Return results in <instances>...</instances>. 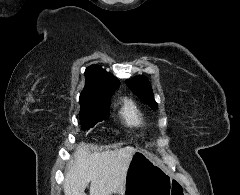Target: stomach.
I'll return each instance as SVG.
<instances>
[{
    "instance_id": "1",
    "label": "stomach",
    "mask_w": 240,
    "mask_h": 195,
    "mask_svg": "<svg viewBox=\"0 0 240 195\" xmlns=\"http://www.w3.org/2000/svg\"><path fill=\"white\" fill-rule=\"evenodd\" d=\"M171 177L160 161L143 149H134L123 195H170Z\"/></svg>"
}]
</instances>
